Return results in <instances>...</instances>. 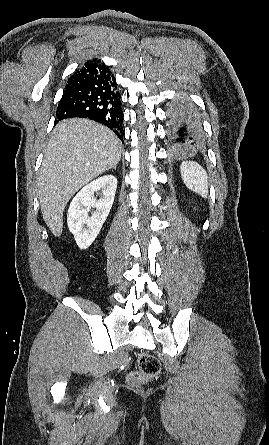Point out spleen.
Segmentation results:
<instances>
[{
    "mask_svg": "<svg viewBox=\"0 0 269 445\" xmlns=\"http://www.w3.org/2000/svg\"><path fill=\"white\" fill-rule=\"evenodd\" d=\"M180 172L184 184L188 189L198 193L203 198L208 194V177L206 171L195 162H183Z\"/></svg>",
    "mask_w": 269,
    "mask_h": 445,
    "instance_id": "3e777b00",
    "label": "spleen"
}]
</instances>
